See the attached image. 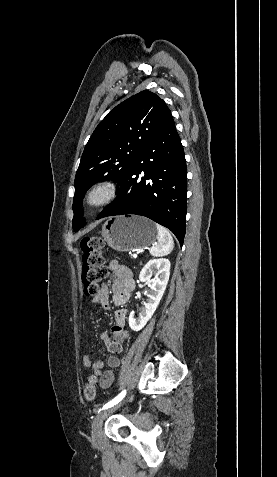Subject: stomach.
I'll return each instance as SVG.
<instances>
[{"label":"stomach","instance_id":"obj_1","mask_svg":"<svg viewBox=\"0 0 277 477\" xmlns=\"http://www.w3.org/2000/svg\"><path fill=\"white\" fill-rule=\"evenodd\" d=\"M101 233L108 246L119 252L146 248L157 239L154 223L137 215L111 217Z\"/></svg>","mask_w":277,"mask_h":477}]
</instances>
